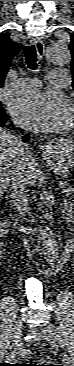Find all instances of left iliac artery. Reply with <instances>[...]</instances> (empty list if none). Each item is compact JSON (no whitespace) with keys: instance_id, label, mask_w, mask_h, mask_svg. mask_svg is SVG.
<instances>
[{"instance_id":"1","label":"left iliac artery","mask_w":74,"mask_h":366,"mask_svg":"<svg viewBox=\"0 0 74 366\" xmlns=\"http://www.w3.org/2000/svg\"><path fill=\"white\" fill-rule=\"evenodd\" d=\"M57 336L59 337V340H60L59 342H60V344H61L62 346H64L63 339H62L61 335L59 334V332H58Z\"/></svg>"}]
</instances>
